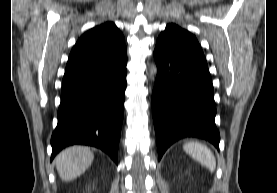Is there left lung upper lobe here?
Masks as SVG:
<instances>
[{
    "mask_svg": "<svg viewBox=\"0 0 277 193\" xmlns=\"http://www.w3.org/2000/svg\"><path fill=\"white\" fill-rule=\"evenodd\" d=\"M159 38L166 39L179 48L203 54L197 39L191 33L175 24H168Z\"/></svg>",
    "mask_w": 277,
    "mask_h": 193,
    "instance_id": "1",
    "label": "left lung upper lobe"
}]
</instances>
